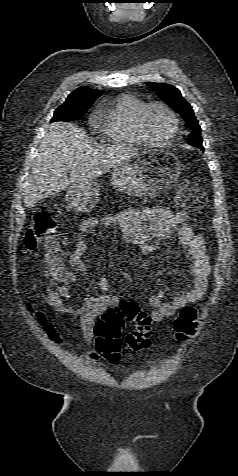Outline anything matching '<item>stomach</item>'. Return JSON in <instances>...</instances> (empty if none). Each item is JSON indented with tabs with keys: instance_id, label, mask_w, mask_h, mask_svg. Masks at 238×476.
Listing matches in <instances>:
<instances>
[{
	"instance_id": "stomach-1",
	"label": "stomach",
	"mask_w": 238,
	"mask_h": 476,
	"mask_svg": "<svg viewBox=\"0 0 238 476\" xmlns=\"http://www.w3.org/2000/svg\"><path fill=\"white\" fill-rule=\"evenodd\" d=\"M181 173L179 159L168 151H133L117 164L111 183L126 195H156L173 184ZM99 186L87 182L70 187L66 193L67 207L74 212H88L99 201Z\"/></svg>"
}]
</instances>
